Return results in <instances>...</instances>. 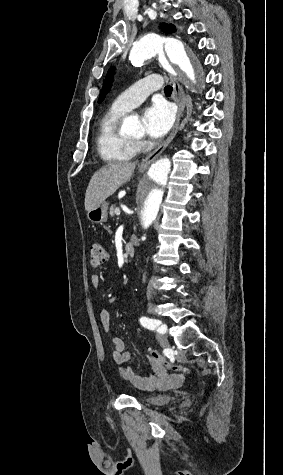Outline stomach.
<instances>
[{"label": "stomach", "mask_w": 283, "mask_h": 475, "mask_svg": "<svg viewBox=\"0 0 283 475\" xmlns=\"http://www.w3.org/2000/svg\"><path fill=\"white\" fill-rule=\"evenodd\" d=\"M139 172H145V170H141V168H139ZM108 206V202H102L98 208H94V210H90V212H88L87 218L90 220L91 224H102V222H107Z\"/></svg>", "instance_id": "stomach-1"}]
</instances>
